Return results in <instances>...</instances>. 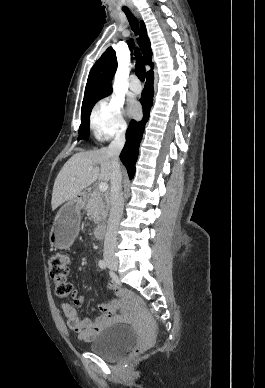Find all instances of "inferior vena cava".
I'll use <instances>...</instances> for the list:
<instances>
[{
    "mask_svg": "<svg viewBox=\"0 0 265 388\" xmlns=\"http://www.w3.org/2000/svg\"><path fill=\"white\" fill-rule=\"evenodd\" d=\"M124 134H117L113 142L108 146V158L111 160V192H110V214L104 240V258L114 256L116 248L117 230L124 210L122 198V174L119 164V154L125 144Z\"/></svg>",
    "mask_w": 265,
    "mask_h": 388,
    "instance_id": "1",
    "label": "inferior vena cava"
}]
</instances>
